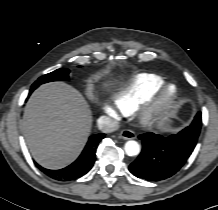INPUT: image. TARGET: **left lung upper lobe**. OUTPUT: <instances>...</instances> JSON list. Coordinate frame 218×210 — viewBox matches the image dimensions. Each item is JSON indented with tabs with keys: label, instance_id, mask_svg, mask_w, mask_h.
<instances>
[{
	"label": "left lung upper lobe",
	"instance_id": "left-lung-upper-lobe-1",
	"mask_svg": "<svg viewBox=\"0 0 218 210\" xmlns=\"http://www.w3.org/2000/svg\"><path fill=\"white\" fill-rule=\"evenodd\" d=\"M201 124V112H198L192 124L189 127L185 128V132L195 133L196 135H199Z\"/></svg>",
	"mask_w": 218,
	"mask_h": 210
}]
</instances>
